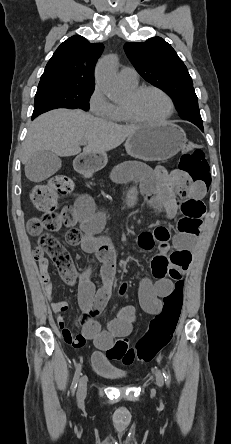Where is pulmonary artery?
<instances>
[{"label":"pulmonary artery","instance_id":"1","mask_svg":"<svg viewBox=\"0 0 231 444\" xmlns=\"http://www.w3.org/2000/svg\"><path fill=\"white\" fill-rule=\"evenodd\" d=\"M120 80L125 84L138 83V73L134 68L124 67L119 73Z\"/></svg>","mask_w":231,"mask_h":444}]
</instances>
